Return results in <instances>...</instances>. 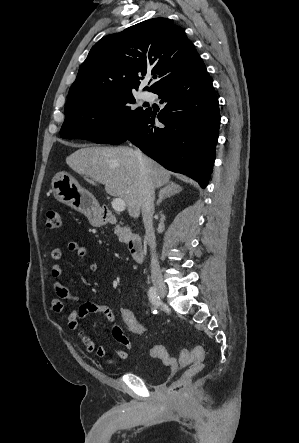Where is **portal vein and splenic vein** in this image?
Returning a JSON list of instances; mask_svg holds the SVG:
<instances>
[{"instance_id": "obj_1", "label": "portal vein and splenic vein", "mask_w": 299, "mask_h": 443, "mask_svg": "<svg viewBox=\"0 0 299 443\" xmlns=\"http://www.w3.org/2000/svg\"><path fill=\"white\" fill-rule=\"evenodd\" d=\"M112 208L116 211V212H123L126 208V204L125 201L121 198H115L112 201Z\"/></svg>"}]
</instances>
